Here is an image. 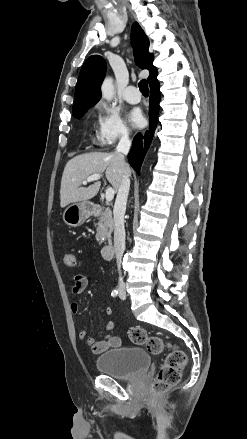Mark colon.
<instances>
[{
    "label": "colon",
    "mask_w": 247,
    "mask_h": 439,
    "mask_svg": "<svg viewBox=\"0 0 247 439\" xmlns=\"http://www.w3.org/2000/svg\"><path fill=\"white\" fill-rule=\"evenodd\" d=\"M63 262L67 267H75L77 265V259L72 253H66ZM129 338L134 344L145 345L152 354H160L166 346L169 347L165 360L152 385V392L154 394H161L180 381L187 365V356L182 349L169 344L166 345L161 338L149 335L142 328H133L129 332Z\"/></svg>",
    "instance_id": "obj_1"
}]
</instances>
